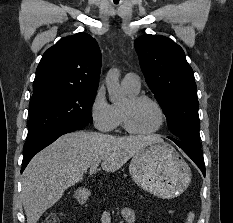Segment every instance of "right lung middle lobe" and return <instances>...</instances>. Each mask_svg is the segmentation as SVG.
I'll return each mask as SVG.
<instances>
[{"label": "right lung middle lobe", "instance_id": "right-lung-middle-lobe-1", "mask_svg": "<svg viewBox=\"0 0 233 223\" xmlns=\"http://www.w3.org/2000/svg\"><path fill=\"white\" fill-rule=\"evenodd\" d=\"M95 95L96 91L83 90H53L32 95L24 153L65 125L92 123Z\"/></svg>", "mask_w": 233, "mask_h": 223}]
</instances>
